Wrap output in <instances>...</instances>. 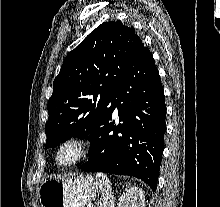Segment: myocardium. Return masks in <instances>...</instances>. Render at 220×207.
<instances>
[{
	"mask_svg": "<svg viewBox=\"0 0 220 207\" xmlns=\"http://www.w3.org/2000/svg\"><path fill=\"white\" fill-rule=\"evenodd\" d=\"M70 148L73 150V156L68 160H61L60 155L63 150ZM89 152L88 141L80 135H69L62 139L56 146L54 152V162L58 167H69L81 162Z\"/></svg>",
	"mask_w": 220,
	"mask_h": 207,
	"instance_id": "myocardium-1",
	"label": "myocardium"
}]
</instances>
